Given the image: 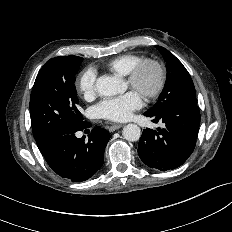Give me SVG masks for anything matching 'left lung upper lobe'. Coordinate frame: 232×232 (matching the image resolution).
Masks as SVG:
<instances>
[{"mask_svg": "<svg viewBox=\"0 0 232 232\" xmlns=\"http://www.w3.org/2000/svg\"><path fill=\"white\" fill-rule=\"evenodd\" d=\"M156 47L166 61L167 76L157 103L148 112H159L180 101L196 104L195 87L186 68L167 49Z\"/></svg>", "mask_w": 232, "mask_h": 232, "instance_id": "1", "label": "left lung upper lobe"}]
</instances>
